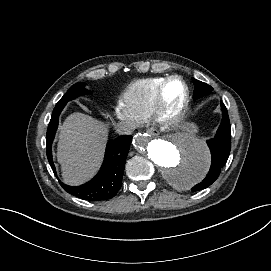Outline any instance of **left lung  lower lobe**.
Instances as JSON below:
<instances>
[{
    "label": "left lung lower lobe",
    "instance_id": "0a47b994",
    "mask_svg": "<svg viewBox=\"0 0 271 271\" xmlns=\"http://www.w3.org/2000/svg\"><path fill=\"white\" fill-rule=\"evenodd\" d=\"M223 119L213 139L207 141L211 151V166L205 179L194 186L192 191L202 190L210 186L220 175L231 150V126L225 105L221 102Z\"/></svg>",
    "mask_w": 271,
    "mask_h": 271
}]
</instances>
